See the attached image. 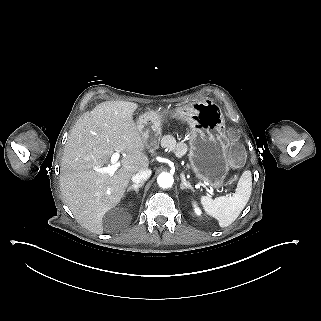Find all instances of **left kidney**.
<instances>
[{"mask_svg": "<svg viewBox=\"0 0 321 321\" xmlns=\"http://www.w3.org/2000/svg\"><path fill=\"white\" fill-rule=\"evenodd\" d=\"M196 213H197V214H200V211H199L198 209H196Z\"/></svg>", "mask_w": 321, "mask_h": 321, "instance_id": "5707ae66", "label": "left kidney"}]
</instances>
